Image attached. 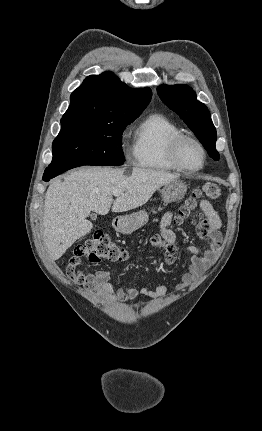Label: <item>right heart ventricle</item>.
<instances>
[{
    "label": "right heart ventricle",
    "instance_id": "obj_1",
    "mask_svg": "<svg viewBox=\"0 0 262 431\" xmlns=\"http://www.w3.org/2000/svg\"><path fill=\"white\" fill-rule=\"evenodd\" d=\"M184 135L181 129L161 114H150L136 126L133 156L137 166L163 171H179L170 159L171 142Z\"/></svg>",
    "mask_w": 262,
    "mask_h": 431
}]
</instances>
